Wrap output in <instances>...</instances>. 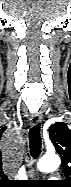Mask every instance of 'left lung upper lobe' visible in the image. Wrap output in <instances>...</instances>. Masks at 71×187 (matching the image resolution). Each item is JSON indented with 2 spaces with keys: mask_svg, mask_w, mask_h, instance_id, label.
Listing matches in <instances>:
<instances>
[{
  "mask_svg": "<svg viewBox=\"0 0 71 187\" xmlns=\"http://www.w3.org/2000/svg\"><path fill=\"white\" fill-rule=\"evenodd\" d=\"M50 139L56 151L62 157V165L68 180L64 183L70 184L71 178V130L63 122H56L50 127Z\"/></svg>",
  "mask_w": 71,
  "mask_h": 187,
  "instance_id": "5c2ea615",
  "label": "left lung upper lobe"
}]
</instances>
